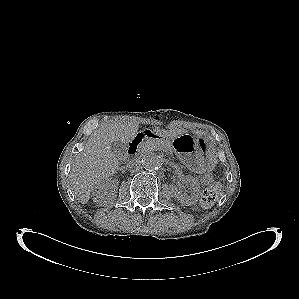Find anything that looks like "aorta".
<instances>
[{
    "mask_svg": "<svg viewBox=\"0 0 299 299\" xmlns=\"http://www.w3.org/2000/svg\"><path fill=\"white\" fill-rule=\"evenodd\" d=\"M142 165L146 170H155L162 165V161L158 155L149 153L143 157Z\"/></svg>",
    "mask_w": 299,
    "mask_h": 299,
    "instance_id": "obj_1",
    "label": "aorta"
}]
</instances>
